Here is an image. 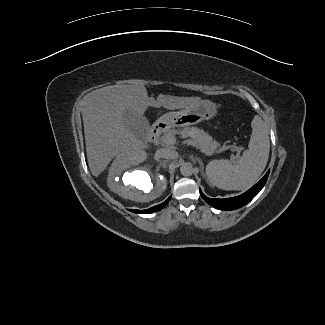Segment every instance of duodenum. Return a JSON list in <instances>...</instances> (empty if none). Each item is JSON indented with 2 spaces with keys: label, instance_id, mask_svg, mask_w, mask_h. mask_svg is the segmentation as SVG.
<instances>
[{
  "label": "duodenum",
  "instance_id": "1",
  "mask_svg": "<svg viewBox=\"0 0 325 325\" xmlns=\"http://www.w3.org/2000/svg\"><path fill=\"white\" fill-rule=\"evenodd\" d=\"M164 129H165L164 124L161 123L155 124L149 133V141L153 142L157 140L160 137V135L163 133Z\"/></svg>",
  "mask_w": 325,
  "mask_h": 325
}]
</instances>
